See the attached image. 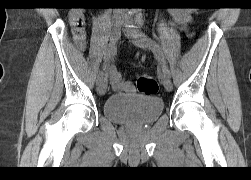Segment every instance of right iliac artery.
<instances>
[{
	"mask_svg": "<svg viewBox=\"0 0 251 180\" xmlns=\"http://www.w3.org/2000/svg\"><path fill=\"white\" fill-rule=\"evenodd\" d=\"M115 52H116V47L110 48V44H109V47L107 48V50L104 54L103 68L98 74L97 84L102 80V78L104 76V70L108 66V64H109L111 58L113 57V55L115 54Z\"/></svg>",
	"mask_w": 251,
	"mask_h": 180,
	"instance_id": "obj_1",
	"label": "right iliac artery"
}]
</instances>
